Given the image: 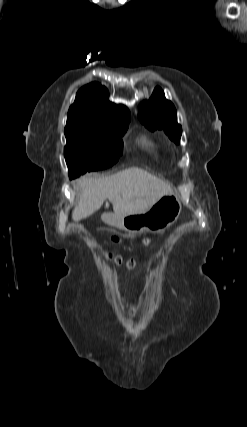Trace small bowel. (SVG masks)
<instances>
[{
	"label": "small bowel",
	"instance_id": "1",
	"mask_svg": "<svg viewBox=\"0 0 247 427\" xmlns=\"http://www.w3.org/2000/svg\"><path fill=\"white\" fill-rule=\"evenodd\" d=\"M116 243H117V244H121V241H120V240H116Z\"/></svg>",
	"mask_w": 247,
	"mask_h": 427
}]
</instances>
